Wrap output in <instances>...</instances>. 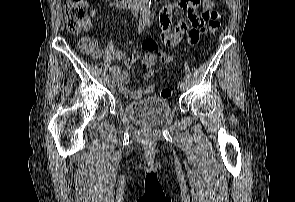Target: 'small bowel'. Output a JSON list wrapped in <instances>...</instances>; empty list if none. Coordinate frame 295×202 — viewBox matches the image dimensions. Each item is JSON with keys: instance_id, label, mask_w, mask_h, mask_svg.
Listing matches in <instances>:
<instances>
[{"instance_id": "1", "label": "small bowel", "mask_w": 295, "mask_h": 202, "mask_svg": "<svg viewBox=\"0 0 295 202\" xmlns=\"http://www.w3.org/2000/svg\"><path fill=\"white\" fill-rule=\"evenodd\" d=\"M214 7L215 3L213 0H178L175 3L164 6L160 12L162 29L161 42L168 47L177 45L183 38H185L189 44L196 43L200 31L205 27ZM177 10H186L189 15V20L188 22H179L177 25L173 26L171 17ZM98 12L97 8H92L90 11L91 17L97 16ZM88 22L89 28L91 23L89 20ZM82 40L91 46V50L86 51L87 53L95 58L102 56L103 51L94 38L85 37ZM142 47L145 50H153L149 52L159 51L160 43H156L155 41H145ZM137 57L138 55L136 53L129 57L123 51L118 49H109L107 51L108 59H120L126 67H130ZM158 60L162 63L168 64L171 61V57L166 54L157 53V61ZM109 71L116 80L120 93L128 99L140 100L154 91L145 90V86L131 90L127 87L129 80V74L127 71L121 70L120 67L115 65L110 66ZM153 76L154 75H147V71L143 75L145 80H151Z\"/></svg>"}]
</instances>
